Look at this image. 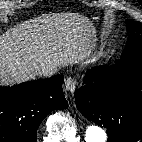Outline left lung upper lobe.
Masks as SVG:
<instances>
[{"label":"left lung upper lobe","instance_id":"obj_1","mask_svg":"<svg viewBox=\"0 0 142 142\" xmlns=\"http://www.w3.org/2000/svg\"><path fill=\"white\" fill-rule=\"evenodd\" d=\"M126 27L130 35L117 63H142V23L128 20Z\"/></svg>","mask_w":142,"mask_h":142}]
</instances>
